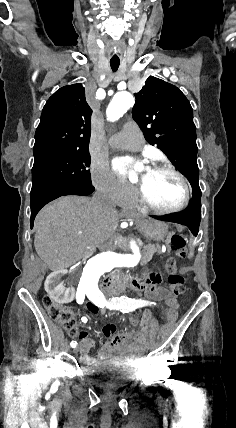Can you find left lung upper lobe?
<instances>
[{
	"label": "left lung upper lobe",
	"mask_w": 236,
	"mask_h": 428,
	"mask_svg": "<svg viewBox=\"0 0 236 428\" xmlns=\"http://www.w3.org/2000/svg\"><path fill=\"white\" fill-rule=\"evenodd\" d=\"M133 119L151 145H157L174 166L199 192L196 127L192 107L176 86L150 76L141 91L135 93ZM149 126V128H148Z\"/></svg>",
	"instance_id": "5c2ea615"
}]
</instances>
